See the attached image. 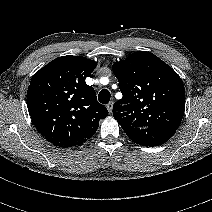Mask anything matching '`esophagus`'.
<instances>
[{
  "mask_svg": "<svg viewBox=\"0 0 212 212\" xmlns=\"http://www.w3.org/2000/svg\"><path fill=\"white\" fill-rule=\"evenodd\" d=\"M106 108H107V110L109 111V113H111V112H112V109H113V102L108 103V104L106 105Z\"/></svg>",
  "mask_w": 212,
  "mask_h": 212,
  "instance_id": "34e87169",
  "label": "esophagus"
}]
</instances>
